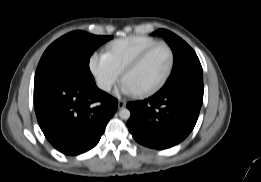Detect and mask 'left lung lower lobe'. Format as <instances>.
I'll list each match as a JSON object with an SVG mask.
<instances>
[{"label":"left lung lower lobe","mask_w":261,"mask_h":182,"mask_svg":"<svg viewBox=\"0 0 261 182\" xmlns=\"http://www.w3.org/2000/svg\"><path fill=\"white\" fill-rule=\"evenodd\" d=\"M203 81H194L165 93L129 102L127 122L133 138L140 144L166 149L183 141L193 130L203 103Z\"/></svg>","instance_id":"1"}]
</instances>
